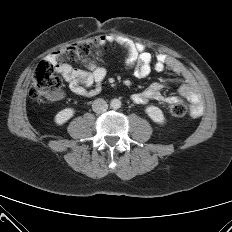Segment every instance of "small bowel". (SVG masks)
Instances as JSON below:
<instances>
[{
  "instance_id": "1",
  "label": "small bowel",
  "mask_w": 232,
  "mask_h": 232,
  "mask_svg": "<svg viewBox=\"0 0 232 232\" xmlns=\"http://www.w3.org/2000/svg\"><path fill=\"white\" fill-rule=\"evenodd\" d=\"M100 40L102 42L116 41L124 46L129 54L127 68L135 78H146L152 70L157 72L167 70L173 76L181 78L180 97L190 102L192 117L202 115L203 103L199 88L191 71L180 60L161 51L153 55L142 44L134 43L117 35H104ZM49 58L52 59L53 56ZM84 65L86 69L82 70L74 68L69 64H58L56 65V71L65 80L73 94L92 96L101 91L102 84L107 76V70L90 61H85ZM165 85L166 82L164 81L154 82L143 91L134 93L131 99L136 104H143L150 100H158L167 104L180 102V97L162 93ZM62 98V92L57 96L51 97L55 101Z\"/></svg>"
}]
</instances>
